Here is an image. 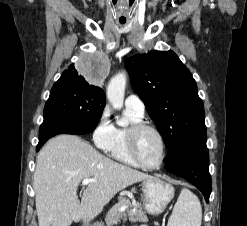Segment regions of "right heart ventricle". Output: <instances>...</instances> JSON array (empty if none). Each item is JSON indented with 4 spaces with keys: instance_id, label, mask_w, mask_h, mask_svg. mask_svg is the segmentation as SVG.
<instances>
[{
    "instance_id": "obj_1",
    "label": "right heart ventricle",
    "mask_w": 247,
    "mask_h": 226,
    "mask_svg": "<svg viewBox=\"0 0 247 226\" xmlns=\"http://www.w3.org/2000/svg\"><path fill=\"white\" fill-rule=\"evenodd\" d=\"M125 117L129 122L128 127L113 126V135L110 144L104 151L113 159L137 167L138 165L131 158L127 148V130L135 123L142 122L143 115L134 112L131 109H125Z\"/></svg>"
}]
</instances>
